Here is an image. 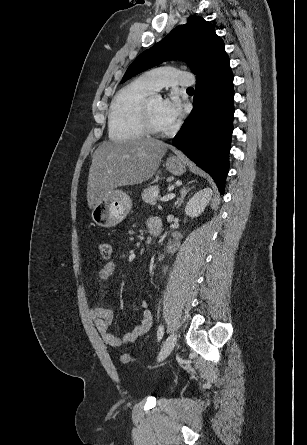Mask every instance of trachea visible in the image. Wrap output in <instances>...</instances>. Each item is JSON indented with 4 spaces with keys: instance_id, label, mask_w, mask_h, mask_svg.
Returning <instances> with one entry per match:
<instances>
[{
    "instance_id": "obj_1",
    "label": "trachea",
    "mask_w": 307,
    "mask_h": 445,
    "mask_svg": "<svg viewBox=\"0 0 307 445\" xmlns=\"http://www.w3.org/2000/svg\"><path fill=\"white\" fill-rule=\"evenodd\" d=\"M188 90H194L192 87H188Z\"/></svg>"
}]
</instances>
